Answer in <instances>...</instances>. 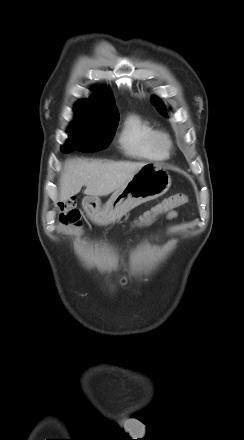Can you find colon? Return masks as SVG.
<instances>
[{
  "label": "colon",
  "instance_id": "colon-1",
  "mask_svg": "<svg viewBox=\"0 0 244 440\" xmlns=\"http://www.w3.org/2000/svg\"><path fill=\"white\" fill-rule=\"evenodd\" d=\"M187 202L188 197L186 195L181 193L174 194L140 215L131 224V228H142L151 225L161 215ZM59 219L65 225L78 226L80 224V212L74 199H69L59 204Z\"/></svg>",
  "mask_w": 244,
  "mask_h": 440
}]
</instances>
